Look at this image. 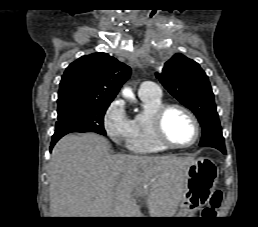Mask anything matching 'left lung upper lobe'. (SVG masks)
Segmentation results:
<instances>
[{
    "label": "left lung upper lobe",
    "instance_id": "5c2ea615",
    "mask_svg": "<svg viewBox=\"0 0 258 227\" xmlns=\"http://www.w3.org/2000/svg\"><path fill=\"white\" fill-rule=\"evenodd\" d=\"M156 76L177 100L197 116L202 127L200 146L224 148L214 95L199 64L182 54H175Z\"/></svg>",
    "mask_w": 258,
    "mask_h": 227
}]
</instances>
